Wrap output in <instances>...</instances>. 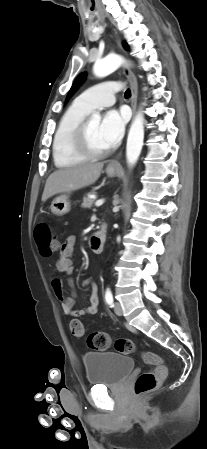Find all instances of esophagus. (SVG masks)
<instances>
[{
    "label": "esophagus",
    "instance_id": "1",
    "mask_svg": "<svg viewBox=\"0 0 207 449\" xmlns=\"http://www.w3.org/2000/svg\"><path fill=\"white\" fill-rule=\"evenodd\" d=\"M123 73L126 76V78L128 79V81L130 83V86H131V92H132L131 107H132V111H133V114H134L135 113V109H136L137 93H138L137 79H136L135 75L126 67L123 68ZM108 166L110 168L118 167L119 166L118 159H115V160L111 161Z\"/></svg>",
    "mask_w": 207,
    "mask_h": 449
}]
</instances>
